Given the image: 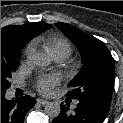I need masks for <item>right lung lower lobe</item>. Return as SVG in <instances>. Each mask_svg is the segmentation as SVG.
Listing matches in <instances>:
<instances>
[{"instance_id": "1", "label": "right lung lower lobe", "mask_w": 123, "mask_h": 123, "mask_svg": "<svg viewBox=\"0 0 123 123\" xmlns=\"http://www.w3.org/2000/svg\"><path fill=\"white\" fill-rule=\"evenodd\" d=\"M35 103L36 100L28 95L18 100H7L5 93L1 94V123H23L27 111Z\"/></svg>"}]
</instances>
